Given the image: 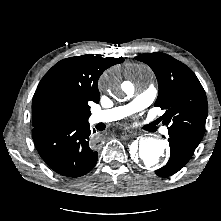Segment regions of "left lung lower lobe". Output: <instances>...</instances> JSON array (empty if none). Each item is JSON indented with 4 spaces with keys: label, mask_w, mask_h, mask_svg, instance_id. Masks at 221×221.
<instances>
[{
    "label": "left lung lower lobe",
    "mask_w": 221,
    "mask_h": 221,
    "mask_svg": "<svg viewBox=\"0 0 221 221\" xmlns=\"http://www.w3.org/2000/svg\"><path fill=\"white\" fill-rule=\"evenodd\" d=\"M168 134L171 151L169 161L165 166L155 171L156 175L163 178L175 174L184 167L201 141L181 132L168 131Z\"/></svg>",
    "instance_id": "1"
}]
</instances>
